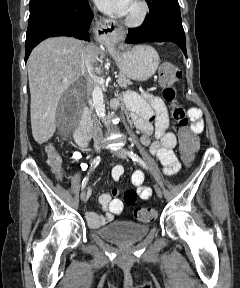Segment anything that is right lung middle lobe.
Returning <instances> with one entry per match:
<instances>
[{"label":"right lung middle lobe","instance_id":"obj_1","mask_svg":"<svg viewBox=\"0 0 240 288\" xmlns=\"http://www.w3.org/2000/svg\"><path fill=\"white\" fill-rule=\"evenodd\" d=\"M77 0H30V15L35 14L43 7L60 2H74Z\"/></svg>","mask_w":240,"mask_h":288}]
</instances>
